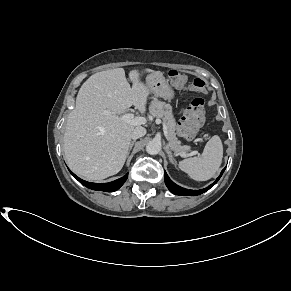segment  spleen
Segmentation results:
<instances>
[{
  "label": "spleen",
  "mask_w": 291,
  "mask_h": 291,
  "mask_svg": "<svg viewBox=\"0 0 291 291\" xmlns=\"http://www.w3.org/2000/svg\"><path fill=\"white\" fill-rule=\"evenodd\" d=\"M222 158L223 145L215 135L206 143L201 156L180 161L179 168L196 181H207L219 170Z\"/></svg>",
  "instance_id": "obj_1"
}]
</instances>
